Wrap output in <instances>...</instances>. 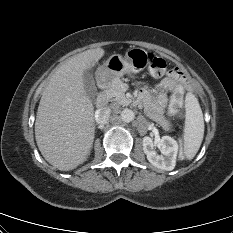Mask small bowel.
I'll return each mask as SVG.
<instances>
[{"mask_svg": "<svg viewBox=\"0 0 233 233\" xmlns=\"http://www.w3.org/2000/svg\"><path fill=\"white\" fill-rule=\"evenodd\" d=\"M186 85L187 78L185 73L179 68H174L155 86L153 95L142 89L140 97L145 104L148 115L164 126H168V122L163 117V111L167 104V92Z\"/></svg>", "mask_w": 233, "mask_h": 233, "instance_id": "1", "label": "small bowel"}]
</instances>
